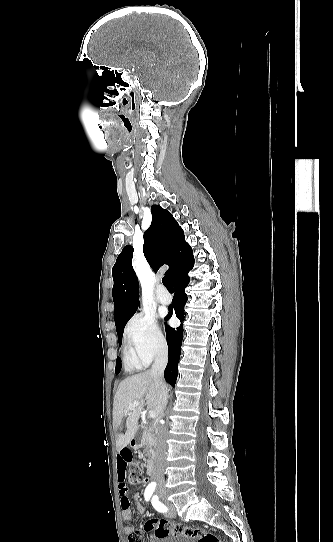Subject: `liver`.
I'll return each instance as SVG.
<instances>
[{"label": "liver", "mask_w": 333, "mask_h": 542, "mask_svg": "<svg viewBox=\"0 0 333 542\" xmlns=\"http://www.w3.org/2000/svg\"><path fill=\"white\" fill-rule=\"evenodd\" d=\"M157 392V382H155L154 376H151L150 370H145V372L135 374V376H129V378H125L120 382L114 398L113 428L117 432L119 426L123 424L124 418H126V432L125 434H116L117 452L128 446L131 440L135 438L139 428L138 420L144 406H147L151 412H156V418H158L156 410ZM133 402H140V406H137L134 410H129L127 416H125L126 410Z\"/></svg>", "instance_id": "6515ba94"}]
</instances>
